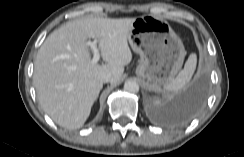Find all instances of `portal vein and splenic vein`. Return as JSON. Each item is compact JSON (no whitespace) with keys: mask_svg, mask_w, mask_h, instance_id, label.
<instances>
[{"mask_svg":"<svg viewBox=\"0 0 244 157\" xmlns=\"http://www.w3.org/2000/svg\"><path fill=\"white\" fill-rule=\"evenodd\" d=\"M87 45L90 46V48L92 49L93 54H94L93 58H92V63L96 64L100 59V52H99V49L97 48V40L88 41Z\"/></svg>","mask_w":244,"mask_h":157,"instance_id":"portal-vein-and-splenic-vein-1","label":"portal vein and splenic vein"}]
</instances>
